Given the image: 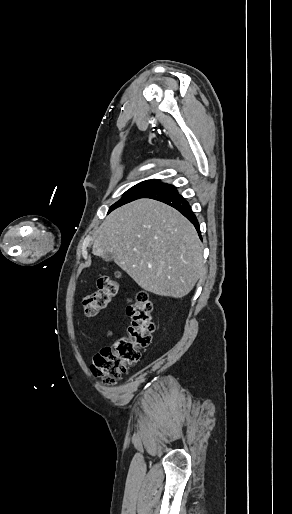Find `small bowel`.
<instances>
[{"mask_svg":"<svg viewBox=\"0 0 292 514\" xmlns=\"http://www.w3.org/2000/svg\"><path fill=\"white\" fill-rule=\"evenodd\" d=\"M115 334L114 330H108L102 334L103 338H110Z\"/></svg>","mask_w":292,"mask_h":514,"instance_id":"small-bowel-1","label":"small bowel"}]
</instances>
